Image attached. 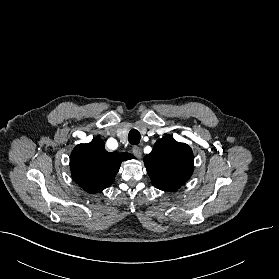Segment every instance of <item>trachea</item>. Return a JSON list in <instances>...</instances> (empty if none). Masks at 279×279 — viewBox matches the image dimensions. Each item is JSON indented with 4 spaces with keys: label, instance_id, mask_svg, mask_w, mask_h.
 Segmentation results:
<instances>
[{
    "label": "trachea",
    "instance_id": "1",
    "mask_svg": "<svg viewBox=\"0 0 279 279\" xmlns=\"http://www.w3.org/2000/svg\"><path fill=\"white\" fill-rule=\"evenodd\" d=\"M140 138H141V135L138 130L132 129L129 132L128 140H129L130 144L137 145L140 142Z\"/></svg>",
    "mask_w": 279,
    "mask_h": 279
}]
</instances>
